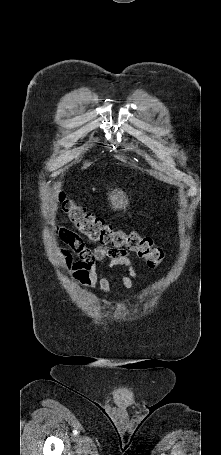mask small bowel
<instances>
[{
	"mask_svg": "<svg viewBox=\"0 0 221 455\" xmlns=\"http://www.w3.org/2000/svg\"><path fill=\"white\" fill-rule=\"evenodd\" d=\"M55 234L69 247L57 249V255L62 260L65 271L71 273L84 288L89 290L98 288L101 294L109 291V280L105 275L98 273L99 267L105 264L111 268L126 267L128 275L120 274L121 282L126 289L133 287L136 271L127 251L108 247L89 248L77 234L63 226H57ZM75 256H78V260Z\"/></svg>",
	"mask_w": 221,
	"mask_h": 455,
	"instance_id": "small-bowel-1",
	"label": "small bowel"
}]
</instances>
